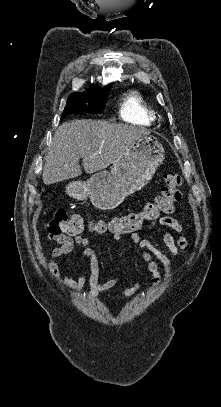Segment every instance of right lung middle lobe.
<instances>
[{"mask_svg": "<svg viewBox=\"0 0 221 407\" xmlns=\"http://www.w3.org/2000/svg\"><path fill=\"white\" fill-rule=\"evenodd\" d=\"M109 90L110 88L96 92L72 93L67 99L61 119L78 111L100 114L104 110Z\"/></svg>", "mask_w": 221, "mask_h": 407, "instance_id": "1", "label": "right lung middle lobe"}]
</instances>
